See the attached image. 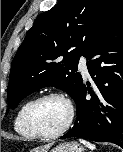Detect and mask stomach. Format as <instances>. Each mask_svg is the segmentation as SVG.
<instances>
[{
  "label": "stomach",
  "instance_id": "obj_1",
  "mask_svg": "<svg viewBox=\"0 0 123 152\" xmlns=\"http://www.w3.org/2000/svg\"><path fill=\"white\" fill-rule=\"evenodd\" d=\"M50 152H84V148L77 142L63 143L54 147Z\"/></svg>",
  "mask_w": 123,
  "mask_h": 152
}]
</instances>
